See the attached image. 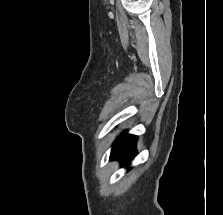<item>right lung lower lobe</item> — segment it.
<instances>
[{"mask_svg": "<svg viewBox=\"0 0 223 215\" xmlns=\"http://www.w3.org/2000/svg\"><path fill=\"white\" fill-rule=\"evenodd\" d=\"M137 136L124 132L114 143L110 160H120L122 166H127L135 156Z\"/></svg>", "mask_w": 223, "mask_h": 215, "instance_id": "1", "label": "right lung lower lobe"}]
</instances>
